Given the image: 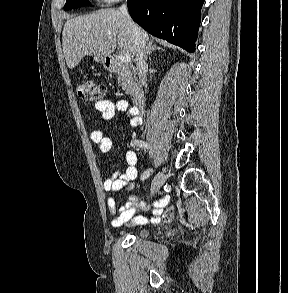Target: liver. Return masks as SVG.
Returning <instances> with one entry per match:
<instances>
[{
	"label": "liver",
	"instance_id": "liver-1",
	"mask_svg": "<svg viewBox=\"0 0 288 293\" xmlns=\"http://www.w3.org/2000/svg\"><path fill=\"white\" fill-rule=\"evenodd\" d=\"M141 34L146 44L148 34ZM63 53L70 69L76 67L83 57L94 55L110 56L118 45L119 49L136 54L134 38L126 18L115 9L99 10L71 18L63 28Z\"/></svg>",
	"mask_w": 288,
	"mask_h": 293
}]
</instances>
